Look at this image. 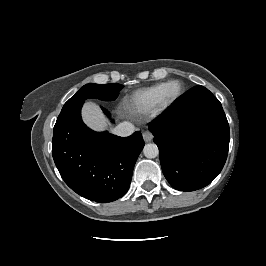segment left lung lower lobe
I'll return each mask as SVG.
<instances>
[{
    "mask_svg": "<svg viewBox=\"0 0 266 266\" xmlns=\"http://www.w3.org/2000/svg\"><path fill=\"white\" fill-rule=\"evenodd\" d=\"M164 176L180 191L210 184L228 155L230 131L219 100L205 87L180 96L149 124Z\"/></svg>",
    "mask_w": 266,
    "mask_h": 266,
    "instance_id": "0a47b994",
    "label": "left lung lower lobe"
}]
</instances>
